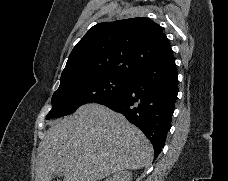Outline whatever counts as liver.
<instances>
[{
    "label": "liver",
    "instance_id": "6515ba94",
    "mask_svg": "<svg viewBox=\"0 0 228 181\" xmlns=\"http://www.w3.org/2000/svg\"><path fill=\"white\" fill-rule=\"evenodd\" d=\"M38 149L36 181H101L125 169L147 167L153 147L124 115L88 103L74 115L49 123Z\"/></svg>",
    "mask_w": 228,
    "mask_h": 181
}]
</instances>
